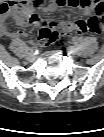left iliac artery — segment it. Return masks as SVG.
I'll return each mask as SVG.
<instances>
[{
    "mask_svg": "<svg viewBox=\"0 0 104 137\" xmlns=\"http://www.w3.org/2000/svg\"><path fill=\"white\" fill-rule=\"evenodd\" d=\"M78 42H79V38H78V37H73V43H74L75 45H77Z\"/></svg>",
    "mask_w": 104,
    "mask_h": 137,
    "instance_id": "obj_1",
    "label": "left iliac artery"
}]
</instances>
